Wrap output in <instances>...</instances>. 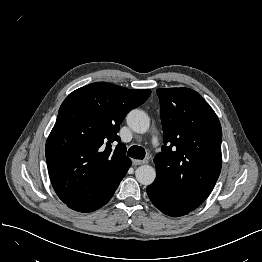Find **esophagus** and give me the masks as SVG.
I'll list each match as a JSON object with an SVG mask.
<instances>
[{
	"mask_svg": "<svg viewBox=\"0 0 262 262\" xmlns=\"http://www.w3.org/2000/svg\"><path fill=\"white\" fill-rule=\"evenodd\" d=\"M132 163H133L134 165H142V164L147 163V161H146V160L133 159V160H132Z\"/></svg>",
	"mask_w": 262,
	"mask_h": 262,
	"instance_id": "34e87169",
	"label": "esophagus"
}]
</instances>
